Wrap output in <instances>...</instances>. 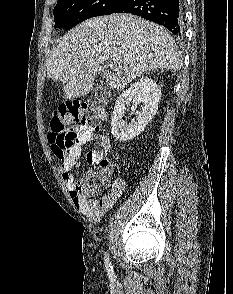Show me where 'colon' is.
<instances>
[{
	"instance_id": "obj_1",
	"label": "colon",
	"mask_w": 233,
	"mask_h": 294,
	"mask_svg": "<svg viewBox=\"0 0 233 294\" xmlns=\"http://www.w3.org/2000/svg\"><path fill=\"white\" fill-rule=\"evenodd\" d=\"M93 118L87 106L81 102H67L59 106L53 114L49 124L48 140L56 157L62 161L68 150L73 146L75 134L72 128L78 125H89ZM96 130L99 127L96 126ZM99 168L88 171L77 183V192L85 197L97 194L108 183L106 169L109 162L102 158L98 163Z\"/></svg>"
}]
</instances>
